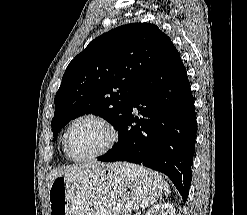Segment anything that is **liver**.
I'll return each instance as SVG.
<instances>
[{
	"label": "liver",
	"instance_id": "1",
	"mask_svg": "<svg viewBox=\"0 0 247 215\" xmlns=\"http://www.w3.org/2000/svg\"><path fill=\"white\" fill-rule=\"evenodd\" d=\"M104 164L99 163V162H91V163H85L82 165H73V166H67L64 168H60L57 170H54L53 172L50 173L49 175V186L53 182V180L59 176H65L70 179L84 176L89 172L90 169L92 168H101L103 167Z\"/></svg>",
	"mask_w": 247,
	"mask_h": 215
}]
</instances>
